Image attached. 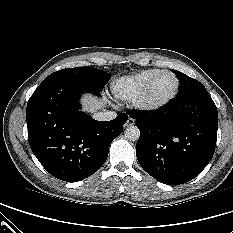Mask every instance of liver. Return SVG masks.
Returning a JSON list of instances; mask_svg holds the SVG:
<instances>
[{"label":"liver","instance_id":"liver-1","mask_svg":"<svg viewBox=\"0 0 233 233\" xmlns=\"http://www.w3.org/2000/svg\"><path fill=\"white\" fill-rule=\"evenodd\" d=\"M82 102L84 104L85 111L91 113H94L103 107V104L101 102H99L94 97L88 95L83 97Z\"/></svg>","mask_w":233,"mask_h":233}]
</instances>
